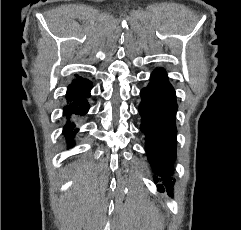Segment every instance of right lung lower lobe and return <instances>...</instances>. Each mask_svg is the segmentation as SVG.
I'll return each instance as SVG.
<instances>
[{"label":"right lung lower lobe","mask_w":241,"mask_h":230,"mask_svg":"<svg viewBox=\"0 0 241 230\" xmlns=\"http://www.w3.org/2000/svg\"><path fill=\"white\" fill-rule=\"evenodd\" d=\"M91 88L92 82L80 77L74 79L68 86L66 94L67 105L63 110V114L67 119L63 133L66 137L68 145L74 144L71 139L77 132V129L74 130L75 125L71 118L81 117L88 112L90 107L88 98L90 97Z\"/></svg>","instance_id":"right-lung-lower-lobe-1"}]
</instances>
